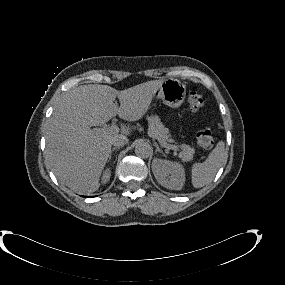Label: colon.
Wrapping results in <instances>:
<instances>
[{
  "instance_id": "obj_1",
  "label": "colon",
  "mask_w": 285,
  "mask_h": 285,
  "mask_svg": "<svg viewBox=\"0 0 285 285\" xmlns=\"http://www.w3.org/2000/svg\"><path fill=\"white\" fill-rule=\"evenodd\" d=\"M188 106L192 111L200 110L205 103L203 95L198 91H191L188 96ZM197 142L204 149H211L214 145V138L210 128L205 127L197 133Z\"/></svg>"
}]
</instances>
